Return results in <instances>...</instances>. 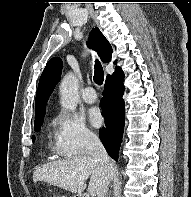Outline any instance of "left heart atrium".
I'll return each instance as SVG.
<instances>
[{
  "label": "left heart atrium",
  "mask_w": 191,
  "mask_h": 197,
  "mask_svg": "<svg viewBox=\"0 0 191 197\" xmlns=\"http://www.w3.org/2000/svg\"><path fill=\"white\" fill-rule=\"evenodd\" d=\"M89 121L94 127H99L103 123V117L98 108H92L89 111Z\"/></svg>",
  "instance_id": "left-heart-atrium-1"
}]
</instances>
